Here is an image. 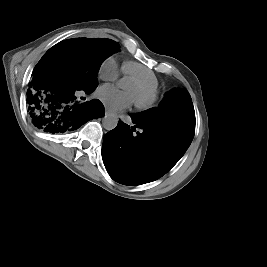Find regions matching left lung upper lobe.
<instances>
[{"label": "left lung upper lobe", "instance_id": "5c2ea615", "mask_svg": "<svg viewBox=\"0 0 267 267\" xmlns=\"http://www.w3.org/2000/svg\"><path fill=\"white\" fill-rule=\"evenodd\" d=\"M130 116L148 126L175 130L190 139L194 137L195 112L190 94L185 89H172L165 95L159 107Z\"/></svg>", "mask_w": 267, "mask_h": 267}]
</instances>
